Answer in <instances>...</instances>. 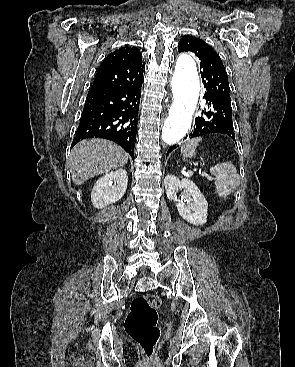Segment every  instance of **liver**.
I'll return each instance as SVG.
<instances>
[{
	"mask_svg": "<svg viewBox=\"0 0 295 367\" xmlns=\"http://www.w3.org/2000/svg\"><path fill=\"white\" fill-rule=\"evenodd\" d=\"M128 157L124 149L108 140H83L71 150L68 164L72 180L81 185L96 175L124 166Z\"/></svg>",
	"mask_w": 295,
	"mask_h": 367,
	"instance_id": "6515ba94",
	"label": "liver"
}]
</instances>
